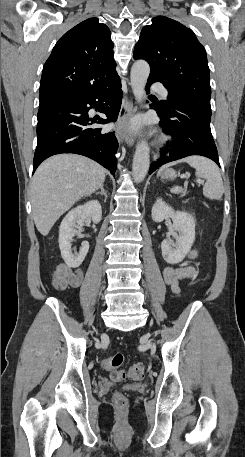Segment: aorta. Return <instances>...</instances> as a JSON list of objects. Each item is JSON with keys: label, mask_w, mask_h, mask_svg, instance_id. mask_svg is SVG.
I'll list each match as a JSON object with an SVG mask.
<instances>
[{"label": "aorta", "mask_w": 245, "mask_h": 457, "mask_svg": "<svg viewBox=\"0 0 245 457\" xmlns=\"http://www.w3.org/2000/svg\"><path fill=\"white\" fill-rule=\"evenodd\" d=\"M150 74V66L144 60L136 61L130 74L131 87L135 99L138 103L142 102L145 96V85ZM150 149L146 141L137 144L132 164V173L135 182H142L149 170Z\"/></svg>", "instance_id": "obj_1"}]
</instances>
